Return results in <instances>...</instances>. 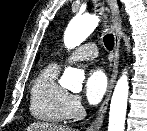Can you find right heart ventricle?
<instances>
[{
	"mask_svg": "<svg viewBox=\"0 0 147 131\" xmlns=\"http://www.w3.org/2000/svg\"><path fill=\"white\" fill-rule=\"evenodd\" d=\"M59 67L49 64L36 77L30 98L31 114L38 120L49 123L64 122L68 91L58 82Z\"/></svg>",
	"mask_w": 147,
	"mask_h": 131,
	"instance_id": "obj_1",
	"label": "right heart ventricle"
}]
</instances>
